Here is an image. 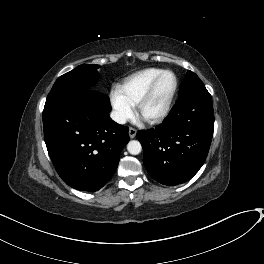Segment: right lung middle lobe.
<instances>
[{
	"instance_id": "obj_1",
	"label": "right lung middle lobe",
	"mask_w": 264,
	"mask_h": 264,
	"mask_svg": "<svg viewBox=\"0 0 264 264\" xmlns=\"http://www.w3.org/2000/svg\"><path fill=\"white\" fill-rule=\"evenodd\" d=\"M99 65L82 64L60 76L49 92L44 108L57 105L85 90H91L96 83Z\"/></svg>"
}]
</instances>
